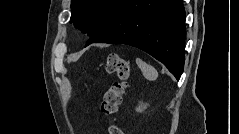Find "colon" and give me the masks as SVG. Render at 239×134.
<instances>
[{
	"label": "colon",
	"mask_w": 239,
	"mask_h": 134,
	"mask_svg": "<svg viewBox=\"0 0 239 134\" xmlns=\"http://www.w3.org/2000/svg\"><path fill=\"white\" fill-rule=\"evenodd\" d=\"M106 70L111 74H116L119 78V81L110 85L101 102L102 114L110 116L117 112L122 103L130 74V66L124 58L117 54H111L107 58ZM108 131L109 134H122L121 129L115 125H111Z\"/></svg>",
	"instance_id": "colon-1"
}]
</instances>
